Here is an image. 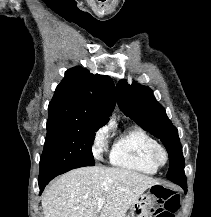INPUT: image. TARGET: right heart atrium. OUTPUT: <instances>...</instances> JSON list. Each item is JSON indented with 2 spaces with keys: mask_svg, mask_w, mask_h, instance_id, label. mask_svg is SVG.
Returning <instances> with one entry per match:
<instances>
[{
  "mask_svg": "<svg viewBox=\"0 0 211 217\" xmlns=\"http://www.w3.org/2000/svg\"><path fill=\"white\" fill-rule=\"evenodd\" d=\"M110 127L104 125L100 127L94 134L92 141V151L96 157H101L108 149Z\"/></svg>",
  "mask_w": 211,
  "mask_h": 217,
  "instance_id": "obj_1",
  "label": "right heart atrium"
}]
</instances>
